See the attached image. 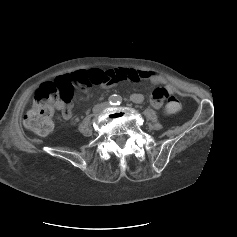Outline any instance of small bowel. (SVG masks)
Segmentation results:
<instances>
[{
	"mask_svg": "<svg viewBox=\"0 0 237 237\" xmlns=\"http://www.w3.org/2000/svg\"><path fill=\"white\" fill-rule=\"evenodd\" d=\"M106 81L103 86L111 87L121 81L137 82L139 80H149L153 84L163 85L161 88H157L153 91L151 96V104L154 108L159 109L163 106L165 100H169L175 92V88L171 85L166 78L161 75L136 69L127 68H115L103 72ZM144 97L140 93H134L131 95V100L135 103H141ZM56 108L61 111L64 118L69 119L72 116V106L70 104L59 102Z\"/></svg>",
	"mask_w": 237,
	"mask_h": 237,
	"instance_id": "c3829d8e",
	"label": "small bowel"
}]
</instances>
